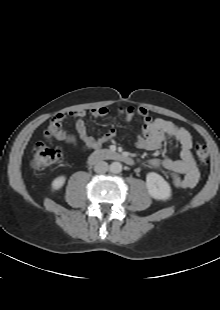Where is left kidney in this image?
I'll list each match as a JSON object with an SVG mask.
<instances>
[{"label":"left kidney","mask_w":220,"mask_h":310,"mask_svg":"<svg viewBox=\"0 0 220 310\" xmlns=\"http://www.w3.org/2000/svg\"><path fill=\"white\" fill-rule=\"evenodd\" d=\"M146 186L150 196L156 200H168L171 198L169 183L159 174L149 172L146 176Z\"/></svg>","instance_id":"1"}]
</instances>
